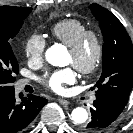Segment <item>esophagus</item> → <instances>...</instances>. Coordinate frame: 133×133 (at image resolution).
<instances>
[{
    "instance_id": "1",
    "label": "esophagus",
    "mask_w": 133,
    "mask_h": 133,
    "mask_svg": "<svg viewBox=\"0 0 133 133\" xmlns=\"http://www.w3.org/2000/svg\"><path fill=\"white\" fill-rule=\"evenodd\" d=\"M57 101L61 103L62 105H68L69 101L66 99L58 98Z\"/></svg>"
}]
</instances>
